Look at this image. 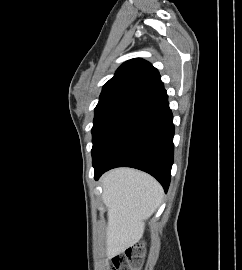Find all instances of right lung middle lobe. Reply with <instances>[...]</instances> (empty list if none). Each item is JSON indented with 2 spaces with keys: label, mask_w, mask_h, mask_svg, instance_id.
Instances as JSON below:
<instances>
[{
  "label": "right lung middle lobe",
  "mask_w": 242,
  "mask_h": 270,
  "mask_svg": "<svg viewBox=\"0 0 242 270\" xmlns=\"http://www.w3.org/2000/svg\"><path fill=\"white\" fill-rule=\"evenodd\" d=\"M136 107L133 104L116 103L95 108V117L91 130L93 161Z\"/></svg>",
  "instance_id": "right-lung-middle-lobe-1"
}]
</instances>
